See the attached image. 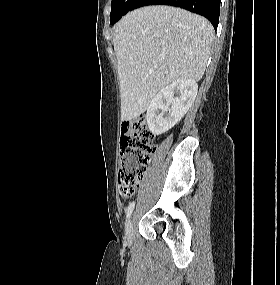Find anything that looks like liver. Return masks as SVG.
Listing matches in <instances>:
<instances>
[{
  "label": "liver",
  "mask_w": 280,
  "mask_h": 285,
  "mask_svg": "<svg viewBox=\"0 0 280 285\" xmlns=\"http://www.w3.org/2000/svg\"><path fill=\"white\" fill-rule=\"evenodd\" d=\"M213 37L207 19L179 8L149 6L124 16L113 37L122 120L144 113L173 82L201 80Z\"/></svg>",
  "instance_id": "1"
}]
</instances>
